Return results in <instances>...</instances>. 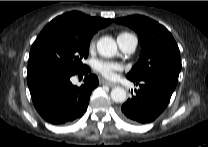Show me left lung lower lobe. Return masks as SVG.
<instances>
[{"label": "left lung lower lobe", "mask_w": 208, "mask_h": 147, "mask_svg": "<svg viewBox=\"0 0 208 147\" xmlns=\"http://www.w3.org/2000/svg\"><path fill=\"white\" fill-rule=\"evenodd\" d=\"M133 82L140 89L121 106L120 117L135 124L154 121L168 105L176 84L157 76Z\"/></svg>", "instance_id": "left-lung-lower-lobe-1"}]
</instances>
